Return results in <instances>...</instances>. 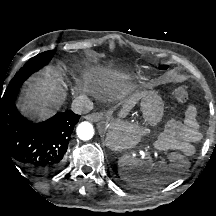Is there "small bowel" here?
<instances>
[{"mask_svg": "<svg viewBox=\"0 0 216 216\" xmlns=\"http://www.w3.org/2000/svg\"><path fill=\"white\" fill-rule=\"evenodd\" d=\"M201 136L197 110L195 106L189 105L183 120L172 117L167 121L162 139L167 148L192 156L195 151L193 143L199 141Z\"/></svg>", "mask_w": 216, "mask_h": 216, "instance_id": "obj_1", "label": "small bowel"}]
</instances>
